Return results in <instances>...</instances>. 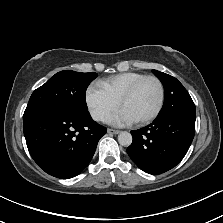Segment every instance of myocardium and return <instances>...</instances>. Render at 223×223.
<instances>
[{
    "label": "myocardium",
    "mask_w": 223,
    "mask_h": 223,
    "mask_svg": "<svg viewBox=\"0 0 223 223\" xmlns=\"http://www.w3.org/2000/svg\"><path fill=\"white\" fill-rule=\"evenodd\" d=\"M148 80H153L156 82L157 86H158V102L157 105L154 109V111L147 117L139 119V120H135V122L137 123H148L153 121L160 113L162 107H163V102H164V87L162 82L160 81L159 78H157L156 76H145L143 78H141L140 80H138L133 86H131L120 98H119V106H122V103L127 100L128 98H130L131 96H133L136 91L140 88V86L148 81Z\"/></svg>",
    "instance_id": "myocardium-1"
}]
</instances>
